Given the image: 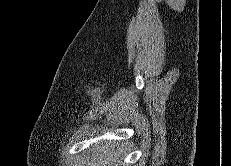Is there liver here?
Here are the masks:
<instances>
[{"label":"liver","instance_id":"1","mask_svg":"<svg viewBox=\"0 0 231 166\" xmlns=\"http://www.w3.org/2000/svg\"><path fill=\"white\" fill-rule=\"evenodd\" d=\"M87 154H91L89 166H118L122 158V150L116 149L115 142L92 146Z\"/></svg>","mask_w":231,"mask_h":166}]
</instances>
